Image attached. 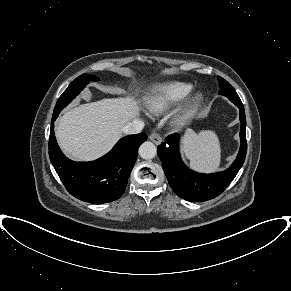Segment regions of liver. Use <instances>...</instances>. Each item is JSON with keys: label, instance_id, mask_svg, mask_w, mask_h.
Masks as SVG:
<instances>
[{"label": "liver", "instance_id": "liver-1", "mask_svg": "<svg viewBox=\"0 0 291 291\" xmlns=\"http://www.w3.org/2000/svg\"><path fill=\"white\" fill-rule=\"evenodd\" d=\"M133 97L105 98L79 105L60 118L56 137L62 150L74 160H94L107 153L124 126L139 115Z\"/></svg>", "mask_w": 291, "mask_h": 291}]
</instances>
